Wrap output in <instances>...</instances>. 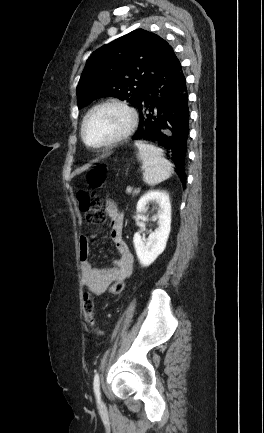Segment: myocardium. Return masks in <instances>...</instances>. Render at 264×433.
Returning a JSON list of instances; mask_svg holds the SVG:
<instances>
[{
  "label": "myocardium",
  "mask_w": 264,
  "mask_h": 433,
  "mask_svg": "<svg viewBox=\"0 0 264 433\" xmlns=\"http://www.w3.org/2000/svg\"><path fill=\"white\" fill-rule=\"evenodd\" d=\"M104 107H117V108L123 110L127 114V117H128L127 125L121 133H119L118 135H116V136H114V137H112L106 141H103V142L97 143V144L90 143L87 140L86 135H85L86 123L93 113H95L97 110L104 108ZM137 123H138V115L132 106H130L125 101H122L119 99H108V100H104V101L99 102L98 104L94 105L86 113V115L84 116L82 123H81L80 134H81V138H82L83 142L90 147H93V148L111 147V146L117 145L120 142L127 139L134 132V130L137 126Z\"/></svg>",
  "instance_id": "obj_1"
}]
</instances>
